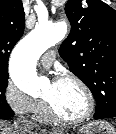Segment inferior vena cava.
Segmentation results:
<instances>
[{"mask_svg": "<svg viewBox=\"0 0 116 134\" xmlns=\"http://www.w3.org/2000/svg\"><path fill=\"white\" fill-rule=\"evenodd\" d=\"M18 124H19L18 127L23 132L31 131L34 128V124L25 118H22L21 120H19Z\"/></svg>", "mask_w": 116, "mask_h": 134, "instance_id": "obj_1", "label": "inferior vena cava"}]
</instances>
